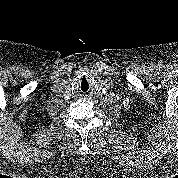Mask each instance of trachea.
I'll list each match as a JSON object with an SVG mask.
<instances>
[{"instance_id": "trachea-1", "label": "trachea", "mask_w": 178, "mask_h": 178, "mask_svg": "<svg viewBox=\"0 0 178 178\" xmlns=\"http://www.w3.org/2000/svg\"><path fill=\"white\" fill-rule=\"evenodd\" d=\"M78 88L80 92L85 93L89 90V81L86 77H83L78 82Z\"/></svg>"}]
</instances>
